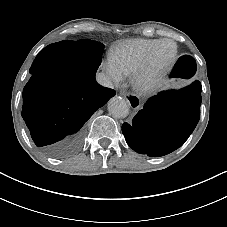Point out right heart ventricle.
I'll return each instance as SVG.
<instances>
[{
  "label": "right heart ventricle",
  "instance_id": "1",
  "mask_svg": "<svg viewBox=\"0 0 227 227\" xmlns=\"http://www.w3.org/2000/svg\"><path fill=\"white\" fill-rule=\"evenodd\" d=\"M161 39H126L117 42L110 53V60L124 70L132 72L140 65Z\"/></svg>",
  "mask_w": 227,
  "mask_h": 227
}]
</instances>
